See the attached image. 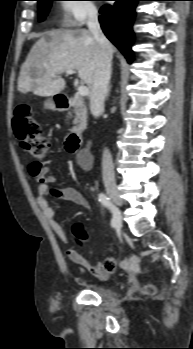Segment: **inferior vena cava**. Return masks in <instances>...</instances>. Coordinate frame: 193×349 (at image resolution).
I'll return each instance as SVG.
<instances>
[{
	"label": "inferior vena cava",
	"mask_w": 193,
	"mask_h": 349,
	"mask_svg": "<svg viewBox=\"0 0 193 349\" xmlns=\"http://www.w3.org/2000/svg\"><path fill=\"white\" fill-rule=\"evenodd\" d=\"M87 26L99 45V55L90 97V110L93 115L99 116L104 112V101L111 77L112 50L110 42L101 30L95 9L88 13ZM102 176L105 185H115L114 164L107 148L104 149L102 155Z\"/></svg>",
	"instance_id": "obj_1"
}]
</instances>
